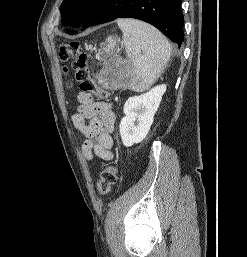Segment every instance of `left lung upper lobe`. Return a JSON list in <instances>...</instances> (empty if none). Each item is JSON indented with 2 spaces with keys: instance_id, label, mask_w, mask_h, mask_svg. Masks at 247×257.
<instances>
[{
  "instance_id": "1",
  "label": "left lung upper lobe",
  "mask_w": 247,
  "mask_h": 257,
  "mask_svg": "<svg viewBox=\"0 0 247 257\" xmlns=\"http://www.w3.org/2000/svg\"><path fill=\"white\" fill-rule=\"evenodd\" d=\"M100 0H63L60 6L62 24L67 26L79 27L92 12ZM76 31L67 30L72 34Z\"/></svg>"
}]
</instances>
